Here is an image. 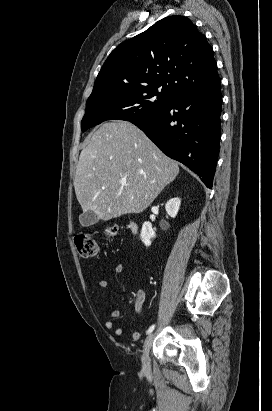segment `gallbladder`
<instances>
[{
	"mask_svg": "<svg viewBox=\"0 0 272 411\" xmlns=\"http://www.w3.org/2000/svg\"><path fill=\"white\" fill-rule=\"evenodd\" d=\"M79 221L82 226L88 227L96 224L99 219L93 211L89 210L80 215Z\"/></svg>",
	"mask_w": 272,
	"mask_h": 411,
	"instance_id": "1",
	"label": "gallbladder"
}]
</instances>
